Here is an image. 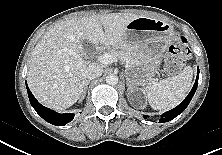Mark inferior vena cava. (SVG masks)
Masks as SVG:
<instances>
[{"instance_id":"1","label":"inferior vena cava","mask_w":222,"mask_h":155,"mask_svg":"<svg viewBox=\"0 0 222 155\" xmlns=\"http://www.w3.org/2000/svg\"><path fill=\"white\" fill-rule=\"evenodd\" d=\"M103 68L101 65L96 64V63H91L89 66L86 68L85 71V76L87 79H94L102 75Z\"/></svg>"}]
</instances>
